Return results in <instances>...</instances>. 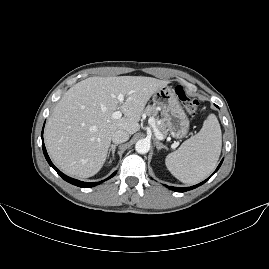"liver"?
<instances>
[{
    "label": "liver",
    "instance_id": "1",
    "mask_svg": "<svg viewBox=\"0 0 269 269\" xmlns=\"http://www.w3.org/2000/svg\"><path fill=\"white\" fill-rule=\"evenodd\" d=\"M169 81L143 76L89 77L61 98L45 127V144L54 163L67 175L94 176L102 168L112 134L140 129L150 97ZM123 94L125 101L117 99ZM121 111L123 117L112 114Z\"/></svg>",
    "mask_w": 269,
    "mask_h": 269
}]
</instances>
